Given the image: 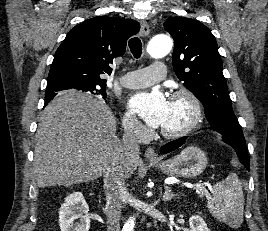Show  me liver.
<instances>
[{"label":"liver","mask_w":268,"mask_h":231,"mask_svg":"<svg viewBox=\"0 0 268 231\" xmlns=\"http://www.w3.org/2000/svg\"><path fill=\"white\" fill-rule=\"evenodd\" d=\"M116 118L101 99L78 91L58 94L43 110L36 135L33 172L37 186H71L103 175L113 156L121 158L126 178L136 170L120 151Z\"/></svg>","instance_id":"1"}]
</instances>
